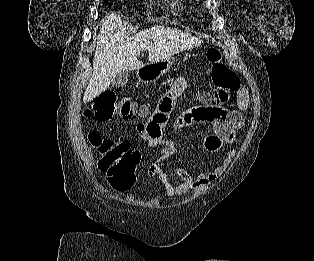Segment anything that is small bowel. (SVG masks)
<instances>
[{
    "label": "small bowel",
    "instance_id": "obj_1",
    "mask_svg": "<svg viewBox=\"0 0 314 261\" xmlns=\"http://www.w3.org/2000/svg\"><path fill=\"white\" fill-rule=\"evenodd\" d=\"M187 86L185 76H179L160 99L150 120L139 123L136 127L137 133L143 142L150 147L160 144L163 139V149L158 157L151 162L147 173L150 177L158 179L168 197L184 195L189 191L207 188L226 172L234 157V152L229 150L223 155L220 165L196 176H192L182 168H174L173 172L179 178V181L177 183L171 182L164 161L176 152V144L170 138L164 139V127L177 104V100L185 92ZM236 102L237 109L224 103L183 109V113L174 116V123H181L184 127H190L192 124H211L212 132L204 137L200 146L209 152H220L225 145L235 142L237 131L244 125L243 111L249 105V96L245 89H240L237 92ZM152 136H158L159 138H153Z\"/></svg>",
    "mask_w": 314,
    "mask_h": 261
}]
</instances>
